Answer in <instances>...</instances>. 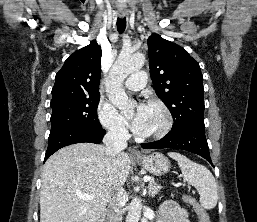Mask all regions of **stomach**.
I'll list each match as a JSON object with an SVG mask.
<instances>
[{
  "label": "stomach",
  "instance_id": "1",
  "mask_svg": "<svg viewBox=\"0 0 257 222\" xmlns=\"http://www.w3.org/2000/svg\"><path fill=\"white\" fill-rule=\"evenodd\" d=\"M135 161L144 169L156 176L164 175L170 169V161L167 157L159 152L137 158Z\"/></svg>",
  "mask_w": 257,
  "mask_h": 222
}]
</instances>
